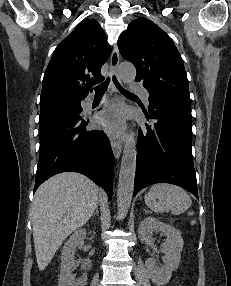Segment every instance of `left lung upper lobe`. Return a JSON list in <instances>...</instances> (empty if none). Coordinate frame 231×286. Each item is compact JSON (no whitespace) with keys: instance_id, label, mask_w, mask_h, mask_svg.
Listing matches in <instances>:
<instances>
[{"instance_id":"left-lung-upper-lobe-1","label":"left lung upper lobe","mask_w":231,"mask_h":286,"mask_svg":"<svg viewBox=\"0 0 231 286\" xmlns=\"http://www.w3.org/2000/svg\"><path fill=\"white\" fill-rule=\"evenodd\" d=\"M122 57L137 70L135 80L150 96L191 103L183 60L170 37L155 23L140 17L131 21L118 41Z\"/></svg>"}]
</instances>
